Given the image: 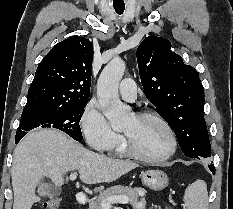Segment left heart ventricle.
Listing matches in <instances>:
<instances>
[{
    "label": "left heart ventricle",
    "mask_w": 233,
    "mask_h": 209,
    "mask_svg": "<svg viewBox=\"0 0 233 209\" xmlns=\"http://www.w3.org/2000/svg\"><path fill=\"white\" fill-rule=\"evenodd\" d=\"M134 147L143 155L157 157L163 155L169 148V136L165 128L152 118L139 119L135 115L123 129Z\"/></svg>",
    "instance_id": "left-heart-ventricle-1"
}]
</instances>
